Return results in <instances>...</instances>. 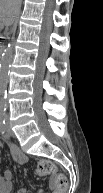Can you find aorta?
<instances>
[{"instance_id":"aorta-1","label":"aorta","mask_w":103,"mask_h":193,"mask_svg":"<svg viewBox=\"0 0 103 193\" xmlns=\"http://www.w3.org/2000/svg\"><path fill=\"white\" fill-rule=\"evenodd\" d=\"M13 47L11 44L4 49L0 59V87L2 93L5 92L6 84L8 81L9 68L12 61ZM2 104H5V99H2Z\"/></svg>"}]
</instances>
